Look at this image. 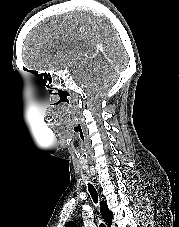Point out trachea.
Returning a JSON list of instances; mask_svg holds the SVG:
<instances>
[{
  "label": "trachea",
  "instance_id": "obj_1",
  "mask_svg": "<svg viewBox=\"0 0 179 227\" xmlns=\"http://www.w3.org/2000/svg\"><path fill=\"white\" fill-rule=\"evenodd\" d=\"M88 190H89V193L94 201V203H97L98 202V194H97V191L96 189L93 187L92 184H88ZM100 227H105V225L103 223L100 224Z\"/></svg>",
  "mask_w": 179,
  "mask_h": 227
}]
</instances>
